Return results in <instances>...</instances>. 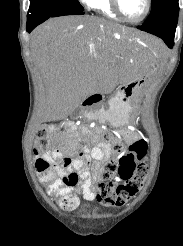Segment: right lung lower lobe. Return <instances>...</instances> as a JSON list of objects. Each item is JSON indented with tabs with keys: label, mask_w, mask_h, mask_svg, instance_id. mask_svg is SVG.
Segmentation results:
<instances>
[{
	"label": "right lung lower lobe",
	"mask_w": 183,
	"mask_h": 246,
	"mask_svg": "<svg viewBox=\"0 0 183 246\" xmlns=\"http://www.w3.org/2000/svg\"><path fill=\"white\" fill-rule=\"evenodd\" d=\"M82 14H84L83 11L74 10V11H68V12L58 13L54 17H56V16H63V15H82ZM45 20L46 19H41V20L27 19V26H26L27 32L30 33L37 25L41 24Z\"/></svg>",
	"instance_id": "1"
}]
</instances>
